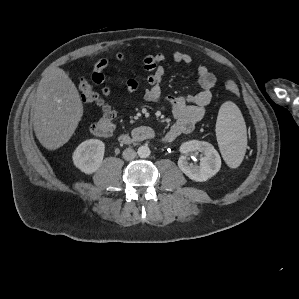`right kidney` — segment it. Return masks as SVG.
<instances>
[{
	"instance_id": "1",
	"label": "right kidney",
	"mask_w": 299,
	"mask_h": 299,
	"mask_svg": "<svg viewBox=\"0 0 299 299\" xmlns=\"http://www.w3.org/2000/svg\"><path fill=\"white\" fill-rule=\"evenodd\" d=\"M105 144L98 139L82 142L73 152L74 165L85 174L96 172L102 164Z\"/></svg>"
}]
</instances>
